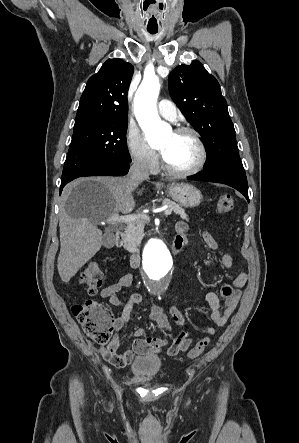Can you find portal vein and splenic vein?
<instances>
[{"label": "portal vein and splenic vein", "mask_w": 299, "mask_h": 443, "mask_svg": "<svg viewBox=\"0 0 299 443\" xmlns=\"http://www.w3.org/2000/svg\"><path fill=\"white\" fill-rule=\"evenodd\" d=\"M171 210L166 209L164 210V214L166 216L171 215ZM140 219H145V220H149V217L147 215L144 214H135V215H125V216H120L119 214H114L112 216H110L105 222H100L99 224H131L137 220Z\"/></svg>", "instance_id": "1"}]
</instances>
